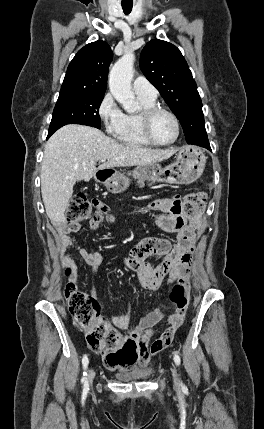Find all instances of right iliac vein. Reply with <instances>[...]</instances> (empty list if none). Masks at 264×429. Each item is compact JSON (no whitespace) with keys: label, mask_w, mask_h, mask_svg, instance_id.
<instances>
[{"label":"right iliac vein","mask_w":264,"mask_h":429,"mask_svg":"<svg viewBox=\"0 0 264 429\" xmlns=\"http://www.w3.org/2000/svg\"><path fill=\"white\" fill-rule=\"evenodd\" d=\"M94 375H95L94 370L90 367L88 369V383H92Z\"/></svg>","instance_id":"1"}]
</instances>
